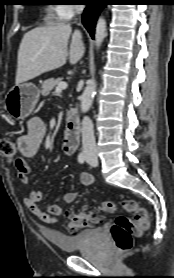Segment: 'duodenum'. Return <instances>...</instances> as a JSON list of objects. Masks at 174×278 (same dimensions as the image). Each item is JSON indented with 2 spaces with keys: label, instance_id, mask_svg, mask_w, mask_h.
I'll return each mask as SVG.
<instances>
[{
  "label": "duodenum",
  "instance_id": "410a0bca",
  "mask_svg": "<svg viewBox=\"0 0 174 278\" xmlns=\"http://www.w3.org/2000/svg\"><path fill=\"white\" fill-rule=\"evenodd\" d=\"M80 123L76 111L69 110L67 113V126L64 134L63 148L65 152L70 153L72 147L79 141Z\"/></svg>",
  "mask_w": 174,
  "mask_h": 278
}]
</instances>
